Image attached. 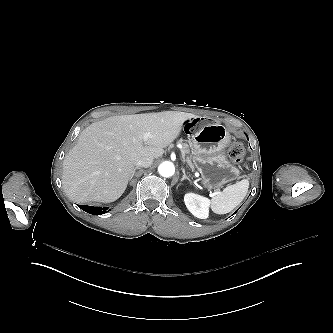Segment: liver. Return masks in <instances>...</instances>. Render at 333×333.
<instances>
[{"mask_svg":"<svg viewBox=\"0 0 333 333\" xmlns=\"http://www.w3.org/2000/svg\"><path fill=\"white\" fill-rule=\"evenodd\" d=\"M191 113L165 111L121 115L94 122L63 161L62 184L76 203H110L125 191L139 159H157L180 134ZM149 133L147 141L143 135Z\"/></svg>","mask_w":333,"mask_h":333,"instance_id":"1","label":"liver"}]
</instances>
